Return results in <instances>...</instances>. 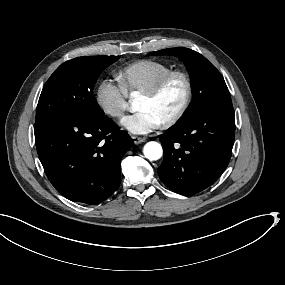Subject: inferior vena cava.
<instances>
[{
  "label": "inferior vena cava",
  "instance_id": "602c4592",
  "mask_svg": "<svg viewBox=\"0 0 285 285\" xmlns=\"http://www.w3.org/2000/svg\"><path fill=\"white\" fill-rule=\"evenodd\" d=\"M125 111L124 107L121 106H112L107 110V112L114 117H121Z\"/></svg>",
  "mask_w": 285,
  "mask_h": 285
}]
</instances>
